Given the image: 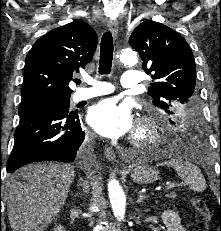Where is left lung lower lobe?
<instances>
[{
  "label": "left lung lower lobe",
  "mask_w": 221,
  "mask_h": 231,
  "mask_svg": "<svg viewBox=\"0 0 221 231\" xmlns=\"http://www.w3.org/2000/svg\"><path fill=\"white\" fill-rule=\"evenodd\" d=\"M188 129L190 130L189 132L191 133V136H188V138L194 141L204 140V135L201 133L200 120L198 119V117H194L191 119V121L189 122ZM173 138H174V142L177 145L189 146L187 143L188 140L180 136V134H178V136H174Z\"/></svg>",
  "instance_id": "0a47b994"
}]
</instances>
